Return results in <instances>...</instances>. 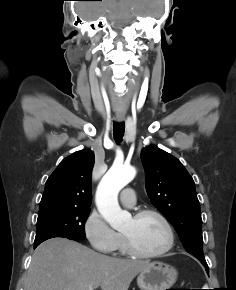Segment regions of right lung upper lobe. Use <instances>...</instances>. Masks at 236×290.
<instances>
[{
    "mask_svg": "<svg viewBox=\"0 0 236 290\" xmlns=\"http://www.w3.org/2000/svg\"><path fill=\"white\" fill-rule=\"evenodd\" d=\"M94 153L84 149L66 157L46 181L40 209L48 207L90 208Z\"/></svg>",
    "mask_w": 236,
    "mask_h": 290,
    "instance_id": "right-lung-upper-lobe-1",
    "label": "right lung upper lobe"
}]
</instances>
